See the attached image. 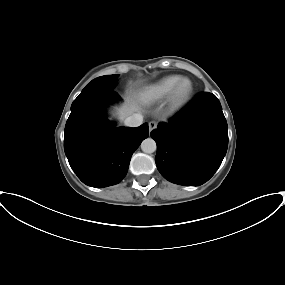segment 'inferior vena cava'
<instances>
[{"instance_id":"inferior-vena-cava-1","label":"inferior vena cava","mask_w":285,"mask_h":285,"mask_svg":"<svg viewBox=\"0 0 285 285\" xmlns=\"http://www.w3.org/2000/svg\"><path fill=\"white\" fill-rule=\"evenodd\" d=\"M143 123V116L141 114H133L127 117L124 124L128 127H138Z\"/></svg>"}]
</instances>
